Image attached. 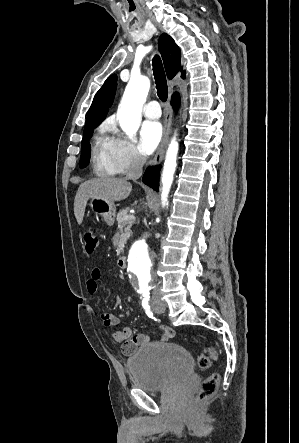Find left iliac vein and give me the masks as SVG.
I'll use <instances>...</instances> for the list:
<instances>
[{
  "instance_id": "1",
  "label": "left iliac vein",
  "mask_w": 299,
  "mask_h": 443,
  "mask_svg": "<svg viewBox=\"0 0 299 443\" xmlns=\"http://www.w3.org/2000/svg\"><path fill=\"white\" fill-rule=\"evenodd\" d=\"M153 309H154V311H156L157 313H161L163 310L162 309H159L158 307H157V305H153Z\"/></svg>"
}]
</instances>
